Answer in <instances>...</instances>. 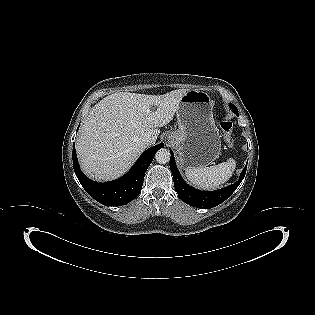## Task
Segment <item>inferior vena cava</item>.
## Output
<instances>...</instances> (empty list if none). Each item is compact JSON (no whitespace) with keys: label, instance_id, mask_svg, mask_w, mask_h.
I'll return each mask as SVG.
<instances>
[{"label":"inferior vena cava","instance_id":"obj_1","mask_svg":"<svg viewBox=\"0 0 315 315\" xmlns=\"http://www.w3.org/2000/svg\"><path fill=\"white\" fill-rule=\"evenodd\" d=\"M142 143L146 146H150L152 144L155 143L154 141V138H152L151 136L149 135H145L143 138H142Z\"/></svg>","mask_w":315,"mask_h":315}]
</instances>
